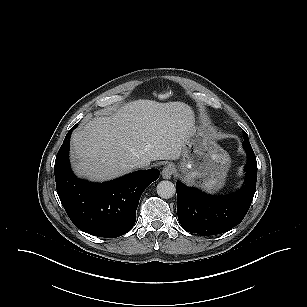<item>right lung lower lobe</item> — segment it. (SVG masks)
<instances>
[{
    "instance_id": "right-lung-lower-lobe-1",
    "label": "right lung lower lobe",
    "mask_w": 307,
    "mask_h": 307,
    "mask_svg": "<svg viewBox=\"0 0 307 307\" xmlns=\"http://www.w3.org/2000/svg\"><path fill=\"white\" fill-rule=\"evenodd\" d=\"M73 126L59 149L54 166L57 193L74 225L93 236L115 238L135 224L136 209L145 188L159 170H140L119 179L96 184L78 179L69 165V140Z\"/></svg>"
}]
</instances>
